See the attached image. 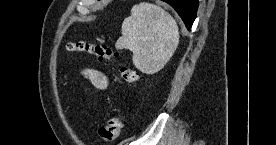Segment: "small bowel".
<instances>
[{
    "instance_id": "small-bowel-1",
    "label": "small bowel",
    "mask_w": 276,
    "mask_h": 145,
    "mask_svg": "<svg viewBox=\"0 0 276 145\" xmlns=\"http://www.w3.org/2000/svg\"><path fill=\"white\" fill-rule=\"evenodd\" d=\"M84 77L88 78L94 86L99 89H106L108 82L106 76L94 69H85L83 71Z\"/></svg>"
}]
</instances>
